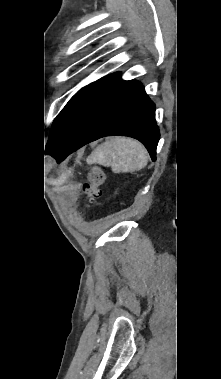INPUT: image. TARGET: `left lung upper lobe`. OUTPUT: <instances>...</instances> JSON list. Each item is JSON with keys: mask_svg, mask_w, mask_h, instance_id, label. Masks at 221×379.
I'll use <instances>...</instances> for the list:
<instances>
[{"mask_svg": "<svg viewBox=\"0 0 221 379\" xmlns=\"http://www.w3.org/2000/svg\"><path fill=\"white\" fill-rule=\"evenodd\" d=\"M118 77V74H112L101 78L82 88L69 100L53 122L46 154L52 156L60 149L79 121Z\"/></svg>", "mask_w": 221, "mask_h": 379, "instance_id": "5c2ea615", "label": "left lung upper lobe"}]
</instances>
